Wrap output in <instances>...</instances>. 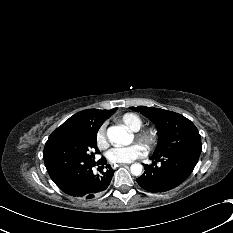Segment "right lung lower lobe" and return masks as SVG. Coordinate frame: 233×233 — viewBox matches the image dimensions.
Segmentation results:
<instances>
[{
    "mask_svg": "<svg viewBox=\"0 0 233 233\" xmlns=\"http://www.w3.org/2000/svg\"><path fill=\"white\" fill-rule=\"evenodd\" d=\"M97 164H106V160L102 158ZM94 166L82 170L73 178L58 184V187L66 194L77 198L91 199L100 194L109 186L114 170L110 165H106V170L101 171V174H94L92 170Z\"/></svg>",
    "mask_w": 233,
    "mask_h": 233,
    "instance_id": "98d812e1",
    "label": "right lung lower lobe"
}]
</instances>
